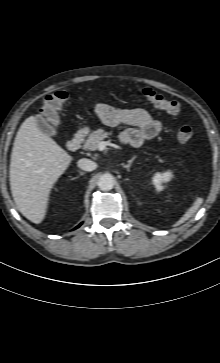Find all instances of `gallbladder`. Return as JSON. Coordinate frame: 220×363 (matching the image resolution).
<instances>
[{
    "mask_svg": "<svg viewBox=\"0 0 220 363\" xmlns=\"http://www.w3.org/2000/svg\"><path fill=\"white\" fill-rule=\"evenodd\" d=\"M36 124L38 128L45 134L49 136H57L58 131L57 129L51 125L42 115H36Z\"/></svg>",
    "mask_w": 220,
    "mask_h": 363,
    "instance_id": "obj_1",
    "label": "gallbladder"
}]
</instances>
